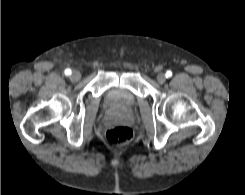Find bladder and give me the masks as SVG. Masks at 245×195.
Segmentation results:
<instances>
[{"instance_id":"obj_1","label":"bladder","mask_w":245,"mask_h":195,"mask_svg":"<svg viewBox=\"0 0 245 195\" xmlns=\"http://www.w3.org/2000/svg\"><path fill=\"white\" fill-rule=\"evenodd\" d=\"M108 101L119 107H132L136 103V97L133 93L124 89H113L108 93Z\"/></svg>"}]
</instances>
